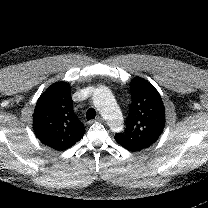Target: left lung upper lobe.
Masks as SVG:
<instances>
[{"instance_id":"5c2ea615","label":"left lung upper lobe","mask_w":208,"mask_h":208,"mask_svg":"<svg viewBox=\"0 0 208 208\" xmlns=\"http://www.w3.org/2000/svg\"><path fill=\"white\" fill-rule=\"evenodd\" d=\"M132 102L126 128L115 134V140L138 149L151 146L165 126V109L162 99L147 80L136 77L130 82Z\"/></svg>"}]
</instances>
